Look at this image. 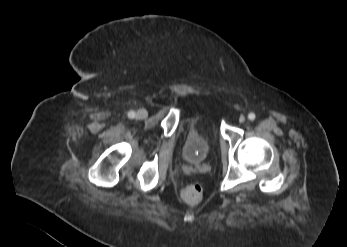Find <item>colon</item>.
<instances>
[{
    "label": "colon",
    "instance_id": "colon-1",
    "mask_svg": "<svg viewBox=\"0 0 347 247\" xmlns=\"http://www.w3.org/2000/svg\"><path fill=\"white\" fill-rule=\"evenodd\" d=\"M203 188L199 183L188 184L182 190V198L189 204H197L202 200Z\"/></svg>",
    "mask_w": 347,
    "mask_h": 247
}]
</instances>
